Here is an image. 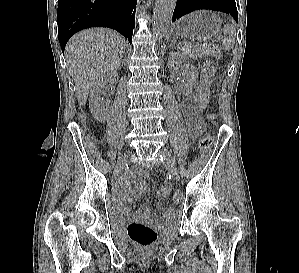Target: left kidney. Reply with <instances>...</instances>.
Instances as JSON below:
<instances>
[{"label": "left kidney", "instance_id": "left-kidney-1", "mask_svg": "<svg viewBox=\"0 0 299 273\" xmlns=\"http://www.w3.org/2000/svg\"><path fill=\"white\" fill-rule=\"evenodd\" d=\"M182 68L185 75V81L179 86L182 94L192 91L197 80V71L191 61L180 52H170L168 58V69L174 72L178 68Z\"/></svg>", "mask_w": 299, "mask_h": 273}]
</instances>
